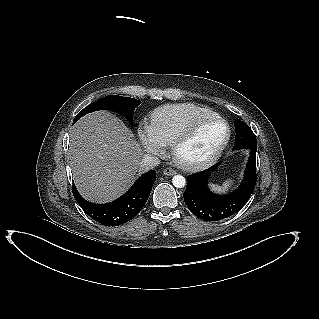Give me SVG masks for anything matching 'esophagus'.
I'll use <instances>...</instances> for the list:
<instances>
[{
	"label": "esophagus",
	"instance_id": "1",
	"mask_svg": "<svg viewBox=\"0 0 319 319\" xmlns=\"http://www.w3.org/2000/svg\"><path fill=\"white\" fill-rule=\"evenodd\" d=\"M163 174L167 176H172L176 174V171L171 168H165Z\"/></svg>",
	"mask_w": 319,
	"mask_h": 319
}]
</instances>
